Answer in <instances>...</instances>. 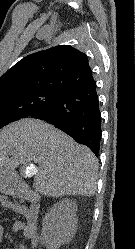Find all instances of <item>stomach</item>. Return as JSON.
Instances as JSON below:
<instances>
[{
  "label": "stomach",
  "instance_id": "1",
  "mask_svg": "<svg viewBox=\"0 0 135 249\" xmlns=\"http://www.w3.org/2000/svg\"><path fill=\"white\" fill-rule=\"evenodd\" d=\"M14 173L12 171H9L7 169H0V188H2V185L5 183H11L13 180Z\"/></svg>",
  "mask_w": 135,
  "mask_h": 249
}]
</instances>
